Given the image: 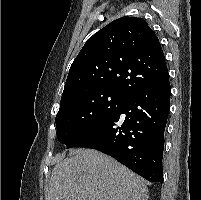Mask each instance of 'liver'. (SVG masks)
Instances as JSON below:
<instances>
[{"mask_svg": "<svg viewBox=\"0 0 201 200\" xmlns=\"http://www.w3.org/2000/svg\"><path fill=\"white\" fill-rule=\"evenodd\" d=\"M52 171L46 200H148L144 182L115 159L76 149Z\"/></svg>", "mask_w": 201, "mask_h": 200, "instance_id": "obj_1", "label": "liver"}]
</instances>
